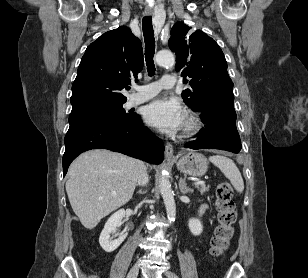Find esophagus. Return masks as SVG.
Here are the masks:
<instances>
[{
  "label": "esophagus",
  "mask_w": 308,
  "mask_h": 278,
  "mask_svg": "<svg viewBox=\"0 0 308 278\" xmlns=\"http://www.w3.org/2000/svg\"><path fill=\"white\" fill-rule=\"evenodd\" d=\"M152 10H145V14L147 15V16H150V15H152ZM174 150H173V146H172V144L171 143H169V142H167L166 144H165V157H166V159L168 160V161H170V160H172L173 158H174Z\"/></svg>",
  "instance_id": "1"
}]
</instances>
